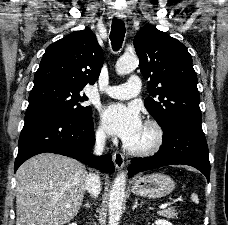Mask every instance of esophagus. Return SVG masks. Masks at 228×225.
Segmentation results:
<instances>
[{
  "mask_svg": "<svg viewBox=\"0 0 228 225\" xmlns=\"http://www.w3.org/2000/svg\"><path fill=\"white\" fill-rule=\"evenodd\" d=\"M117 18H119L120 20H126V18L122 15H117ZM113 161L115 164V167L117 168V170H121L124 166V156L122 155V153L119 152H115L113 154Z\"/></svg>",
  "mask_w": 228,
  "mask_h": 225,
  "instance_id": "1",
  "label": "esophagus"
}]
</instances>
